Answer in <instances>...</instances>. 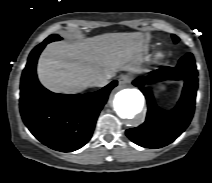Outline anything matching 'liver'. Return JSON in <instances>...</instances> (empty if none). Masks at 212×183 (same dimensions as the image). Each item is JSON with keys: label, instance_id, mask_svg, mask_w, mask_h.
<instances>
[{"label": "liver", "instance_id": "obj_1", "mask_svg": "<svg viewBox=\"0 0 212 183\" xmlns=\"http://www.w3.org/2000/svg\"><path fill=\"white\" fill-rule=\"evenodd\" d=\"M146 50L142 35L109 33L75 42H54L44 49L37 67L40 82L49 90L75 94L92 86L99 74L125 70L142 72Z\"/></svg>", "mask_w": 212, "mask_h": 183}]
</instances>
